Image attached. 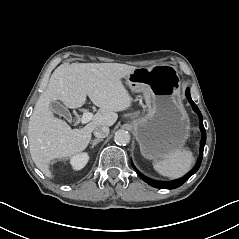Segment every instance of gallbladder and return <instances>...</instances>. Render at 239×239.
Returning <instances> with one entry per match:
<instances>
[{"instance_id": "gallbladder-1", "label": "gallbladder", "mask_w": 239, "mask_h": 239, "mask_svg": "<svg viewBox=\"0 0 239 239\" xmlns=\"http://www.w3.org/2000/svg\"><path fill=\"white\" fill-rule=\"evenodd\" d=\"M50 108L53 110L54 113L65 117V120H71L72 116L69 115V112L66 107L56 101H52L50 103Z\"/></svg>"}]
</instances>
